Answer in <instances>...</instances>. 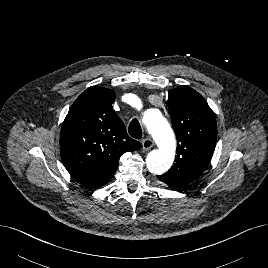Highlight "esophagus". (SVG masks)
I'll return each mask as SVG.
<instances>
[{"mask_svg":"<svg viewBox=\"0 0 268 268\" xmlns=\"http://www.w3.org/2000/svg\"><path fill=\"white\" fill-rule=\"evenodd\" d=\"M154 146V142L151 138L147 137L142 141V148L145 150L151 149Z\"/></svg>","mask_w":268,"mask_h":268,"instance_id":"34e87169","label":"esophagus"}]
</instances>
